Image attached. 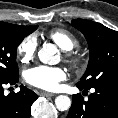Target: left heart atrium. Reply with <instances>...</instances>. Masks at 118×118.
<instances>
[{"mask_svg":"<svg viewBox=\"0 0 118 118\" xmlns=\"http://www.w3.org/2000/svg\"><path fill=\"white\" fill-rule=\"evenodd\" d=\"M66 78V71L61 67L39 65L25 72L27 83L47 91L57 90L60 87V83Z\"/></svg>","mask_w":118,"mask_h":118,"instance_id":"1","label":"left heart atrium"}]
</instances>
